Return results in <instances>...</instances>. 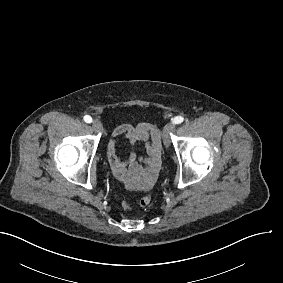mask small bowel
Returning <instances> with one entry per match:
<instances>
[{"label": "small bowel", "instance_id": "1", "mask_svg": "<svg viewBox=\"0 0 283 283\" xmlns=\"http://www.w3.org/2000/svg\"><path fill=\"white\" fill-rule=\"evenodd\" d=\"M121 138L128 139L131 143L143 142L147 146L149 158L145 154L138 156L141 165L148 167L137 182H129V187H137L143 182L154 184L157 179L158 171L161 167V135L159 129L151 123H139L137 125L121 124L112 131V140L107 147V157L115 178L124 184L131 179L130 170L134 175L141 173V167L136 163L137 156L130 154L128 161L121 160L117 155V141Z\"/></svg>", "mask_w": 283, "mask_h": 283}]
</instances>
